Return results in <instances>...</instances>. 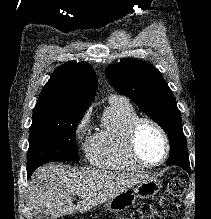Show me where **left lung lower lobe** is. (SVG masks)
Here are the masks:
<instances>
[{
  "label": "left lung lower lobe",
  "mask_w": 211,
  "mask_h": 219,
  "mask_svg": "<svg viewBox=\"0 0 211 219\" xmlns=\"http://www.w3.org/2000/svg\"><path fill=\"white\" fill-rule=\"evenodd\" d=\"M168 163L175 164L184 168L187 171H190L189 159H180L177 155L170 154Z\"/></svg>",
  "instance_id": "left-lung-lower-lobe-1"
}]
</instances>
